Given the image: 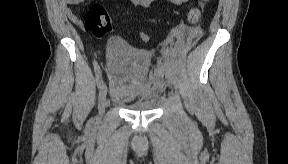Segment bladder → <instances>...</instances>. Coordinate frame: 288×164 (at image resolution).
<instances>
[{
    "instance_id": "1",
    "label": "bladder",
    "mask_w": 288,
    "mask_h": 164,
    "mask_svg": "<svg viewBox=\"0 0 288 164\" xmlns=\"http://www.w3.org/2000/svg\"><path fill=\"white\" fill-rule=\"evenodd\" d=\"M106 59L111 77V98L132 111L156 109V100L146 86L151 53L129 45L115 44L108 48Z\"/></svg>"
}]
</instances>
